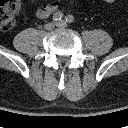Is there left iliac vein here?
<instances>
[{
	"instance_id": "left-iliac-vein-1",
	"label": "left iliac vein",
	"mask_w": 128,
	"mask_h": 128,
	"mask_svg": "<svg viewBox=\"0 0 128 128\" xmlns=\"http://www.w3.org/2000/svg\"><path fill=\"white\" fill-rule=\"evenodd\" d=\"M60 28H65L67 26V23L64 20L58 21L56 24Z\"/></svg>"
}]
</instances>
